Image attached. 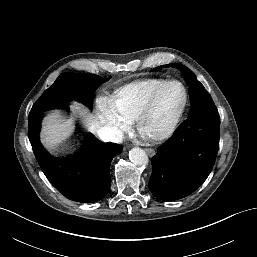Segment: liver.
I'll list each match as a JSON object with an SVG mask.
<instances>
[{"label": "liver", "instance_id": "liver-1", "mask_svg": "<svg viewBox=\"0 0 257 257\" xmlns=\"http://www.w3.org/2000/svg\"><path fill=\"white\" fill-rule=\"evenodd\" d=\"M71 131L70 121L65 120L59 114L52 113L44 118L42 140L47 146L53 147L66 139Z\"/></svg>", "mask_w": 257, "mask_h": 257}]
</instances>
